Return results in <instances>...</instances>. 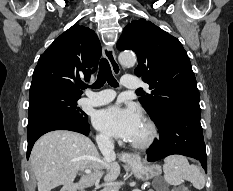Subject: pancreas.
Wrapping results in <instances>:
<instances>
[{
  "label": "pancreas",
  "instance_id": "1",
  "mask_svg": "<svg viewBox=\"0 0 233 191\" xmlns=\"http://www.w3.org/2000/svg\"><path fill=\"white\" fill-rule=\"evenodd\" d=\"M118 189L117 186H106L101 191H118Z\"/></svg>",
  "mask_w": 233,
  "mask_h": 191
}]
</instances>
